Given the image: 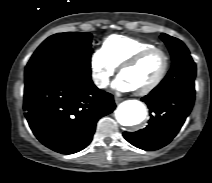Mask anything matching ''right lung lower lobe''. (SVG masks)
I'll return each mask as SVG.
<instances>
[{"mask_svg":"<svg viewBox=\"0 0 212 183\" xmlns=\"http://www.w3.org/2000/svg\"><path fill=\"white\" fill-rule=\"evenodd\" d=\"M115 107L113 96L93 84L90 68H25V116L37 139L56 152L73 154L87 147L97 121Z\"/></svg>","mask_w":212,"mask_h":183,"instance_id":"right-lung-lower-lobe-1","label":"right lung lower lobe"}]
</instances>
